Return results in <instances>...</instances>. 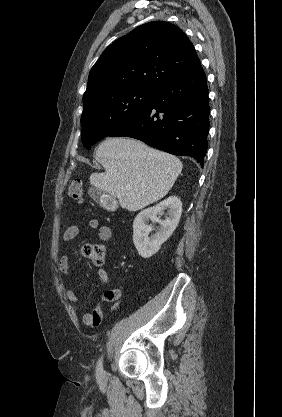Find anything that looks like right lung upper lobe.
Returning <instances> with one entry per match:
<instances>
[{"instance_id": "obj_1", "label": "right lung upper lobe", "mask_w": 282, "mask_h": 417, "mask_svg": "<svg viewBox=\"0 0 282 417\" xmlns=\"http://www.w3.org/2000/svg\"><path fill=\"white\" fill-rule=\"evenodd\" d=\"M199 66L193 44L179 27L164 21L149 22L104 50L90 71L83 100L133 87L157 90Z\"/></svg>"}]
</instances>
